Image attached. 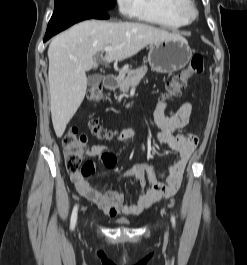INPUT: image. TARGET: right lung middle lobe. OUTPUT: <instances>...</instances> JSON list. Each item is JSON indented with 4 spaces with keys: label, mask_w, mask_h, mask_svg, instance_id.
I'll return each mask as SVG.
<instances>
[{
    "label": "right lung middle lobe",
    "mask_w": 247,
    "mask_h": 265,
    "mask_svg": "<svg viewBox=\"0 0 247 265\" xmlns=\"http://www.w3.org/2000/svg\"><path fill=\"white\" fill-rule=\"evenodd\" d=\"M115 0H55L54 13L73 9H100L107 11L115 6Z\"/></svg>",
    "instance_id": "1"
}]
</instances>
